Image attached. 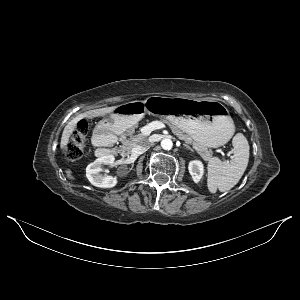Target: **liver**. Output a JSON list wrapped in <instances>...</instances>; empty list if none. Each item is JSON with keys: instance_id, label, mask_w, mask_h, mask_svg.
Returning a JSON list of instances; mask_svg holds the SVG:
<instances>
[{"instance_id": "obj_1", "label": "liver", "mask_w": 300, "mask_h": 300, "mask_svg": "<svg viewBox=\"0 0 300 300\" xmlns=\"http://www.w3.org/2000/svg\"><path fill=\"white\" fill-rule=\"evenodd\" d=\"M113 107H106V108H101V109H95L91 111H87L85 113H82L75 117L73 120H71L64 128L62 137H61V142H60V147L62 150L67 149V145L69 143L70 136L72 135L73 131L75 130L76 123L81 120V119H93L95 117H102L105 116L106 114L111 113L114 108Z\"/></svg>"}]
</instances>
